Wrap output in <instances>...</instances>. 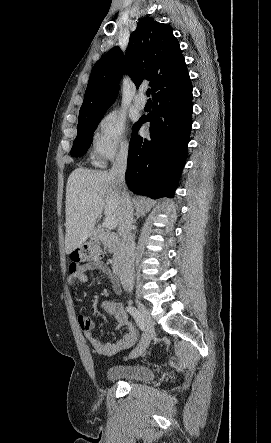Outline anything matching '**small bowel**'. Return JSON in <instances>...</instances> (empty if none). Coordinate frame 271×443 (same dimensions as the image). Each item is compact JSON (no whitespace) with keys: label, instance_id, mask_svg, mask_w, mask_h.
<instances>
[{"label":"small bowel","instance_id":"1","mask_svg":"<svg viewBox=\"0 0 271 443\" xmlns=\"http://www.w3.org/2000/svg\"><path fill=\"white\" fill-rule=\"evenodd\" d=\"M92 271L107 275L112 282L114 292L116 294L120 293L121 286L119 280L111 273L109 267L101 260H94L92 262L82 264H72L70 267L68 284L70 286H74L76 282L86 283L87 273ZM102 308L108 316L117 321L119 328H126V332L114 342L103 343L98 340L92 332V320L84 315H80L78 318L79 325L92 349L99 355L112 356L122 350L133 347L137 342V331L130 321L128 315L125 313L122 305L116 300H106L102 303Z\"/></svg>","mask_w":271,"mask_h":443}]
</instances>
